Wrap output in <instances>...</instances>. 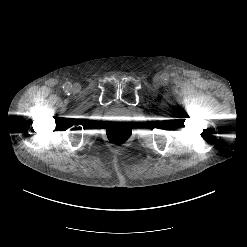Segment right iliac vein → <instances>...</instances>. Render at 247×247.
Segmentation results:
<instances>
[{
	"label": "right iliac vein",
	"mask_w": 247,
	"mask_h": 247,
	"mask_svg": "<svg viewBox=\"0 0 247 247\" xmlns=\"http://www.w3.org/2000/svg\"><path fill=\"white\" fill-rule=\"evenodd\" d=\"M79 85L78 84H75L74 86H73V89L75 90V91H77V90H79Z\"/></svg>",
	"instance_id": "right-iliac-vein-1"
}]
</instances>
